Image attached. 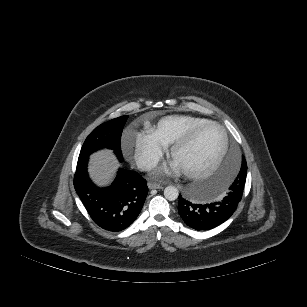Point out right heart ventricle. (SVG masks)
<instances>
[{
  "mask_svg": "<svg viewBox=\"0 0 307 307\" xmlns=\"http://www.w3.org/2000/svg\"><path fill=\"white\" fill-rule=\"evenodd\" d=\"M209 121L193 115H168L161 118L151 129L154 136L164 145H171L191 128Z\"/></svg>",
  "mask_w": 307,
  "mask_h": 307,
  "instance_id": "obj_1",
  "label": "right heart ventricle"
}]
</instances>
